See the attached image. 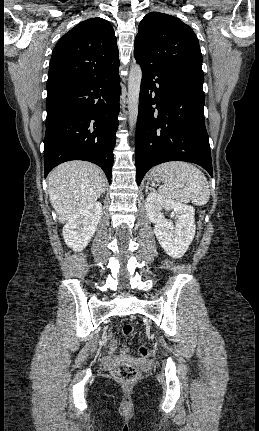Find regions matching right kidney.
<instances>
[{"mask_svg":"<svg viewBox=\"0 0 259 431\" xmlns=\"http://www.w3.org/2000/svg\"><path fill=\"white\" fill-rule=\"evenodd\" d=\"M102 213V204L93 202L76 212L63 228V238L68 247L81 251L93 237Z\"/></svg>","mask_w":259,"mask_h":431,"instance_id":"right-kidney-1","label":"right kidney"}]
</instances>
